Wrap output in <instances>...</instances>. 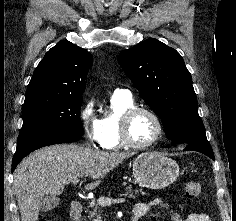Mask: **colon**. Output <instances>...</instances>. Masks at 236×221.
Segmentation results:
<instances>
[{
    "label": "colon",
    "instance_id": "1",
    "mask_svg": "<svg viewBox=\"0 0 236 221\" xmlns=\"http://www.w3.org/2000/svg\"><path fill=\"white\" fill-rule=\"evenodd\" d=\"M201 193H202V187L199 182L190 181L186 184L185 195L187 198H189V199L197 198L201 195ZM40 221H50V220L42 219Z\"/></svg>",
    "mask_w": 236,
    "mask_h": 221
}]
</instances>
